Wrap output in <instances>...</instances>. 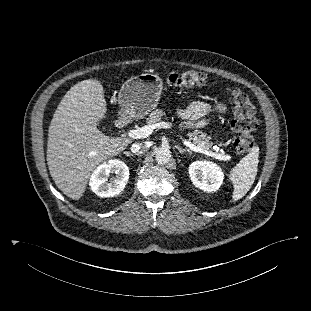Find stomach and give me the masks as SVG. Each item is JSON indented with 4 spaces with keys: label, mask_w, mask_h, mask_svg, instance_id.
Instances as JSON below:
<instances>
[{
    "label": "stomach",
    "mask_w": 311,
    "mask_h": 311,
    "mask_svg": "<svg viewBox=\"0 0 311 311\" xmlns=\"http://www.w3.org/2000/svg\"><path fill=\"white\" fill-rule=\"evenodd\" d=\"M163 83L159 76L141 74L128 79L118 94L121 114L130 118H142L157 107Z\"/></svg>",
    "instance_id": "obj_1"
}]
</instances>
